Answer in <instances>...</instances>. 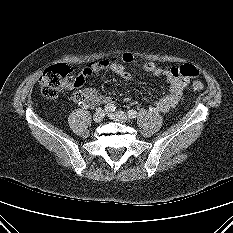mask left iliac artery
Here are the masks:
<instances>
[{"label": "left iliac artery", "instance_id": "1", "mask_svg": "<svg viewBox=\"0 0 233 233\" xmlns=\"http://www.w3.org/2000/svg\"><path fill=\"white\" fill-rule=\"evenodd\" d=\"M128 117L130 118V119H134V118H136L137 117V111L136 110H129L128 111Z\"/></svg>", "mask_w": 233, "mask_h": 233}]
</instances>
